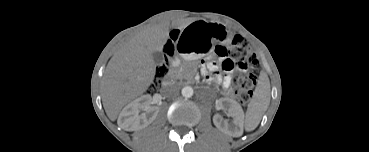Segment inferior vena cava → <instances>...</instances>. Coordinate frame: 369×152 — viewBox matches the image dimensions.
<instances>
[{"mask_svg":"<svg viewBox=\"0 0 369 152\" xmlns=\"http://www.w3.org/2000/svg\"><path fill=\"white\" fill-rule=\"evenodd\" d=\"M176 91L177 85L175 83H171L165 88V92L168 94L175 93Z\"/></svg>","mask_w":369,"mask_h":152,"instance_id":"1","label":"inferior vena cava"}]
</instances>
